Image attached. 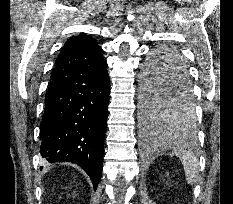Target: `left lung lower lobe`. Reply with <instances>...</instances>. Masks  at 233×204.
<instances>
[{"label":"left lung lower lobe","instance_id":"0a47b994","mask_svg":"<svg viewBox=\"0 0 233 204\" xmlns=\"http://www.w3.org/2000/svg\"><path fill=\"white\" fill-rule=\"evenodd\" d=\"M168 85H169L168 88L170 90L180 89V88H184L186 85H190L188 69L185 66V64H182L180 66L179 71L171 78V82ZM145 128L149 134H154L159 132L161 134V133L176 131V130H167L165 128L154 125L153 123H146V122H145ZM151 136L149 135V137Z\"/></svg>","mask_w":233,"mask_h":204}]
</instances>
